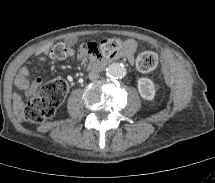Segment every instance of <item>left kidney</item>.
Instances as JSON below:
<instances>
[{"label": "left kidney", "instance_id": "1", "mask_svg": "<svg viewBox=\"0 0 215 183\" xmlns=\"http://www.w3.org/2000/svg\"><path fill=\"white\" fill-rule=\"evenodd\" d=\"M138 91L140 96L146 100H153L155 96V85L149 78L138 79Z\"/></svg>", "mask_w": 215, "mask_h": 183}]
</instances>
